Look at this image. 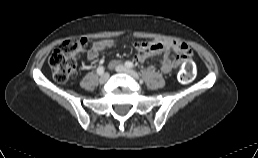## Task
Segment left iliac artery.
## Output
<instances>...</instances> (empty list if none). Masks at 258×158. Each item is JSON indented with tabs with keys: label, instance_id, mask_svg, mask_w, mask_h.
I'll list each match as a JSON object with an SVG mask.
<instances>
[{
	"label": "left iliac artery",
	"instance_id": "1",
	"mask_svg": "<svg viewBox=\"0 0 258 158\" xmlns=\"http://www.w3.org/2000/svg\"><path fill=\"white\" fill-rule=\"evenodd\" d=\"M125 66H126L127 68H133V67H134L133 63L130 62V61H126V62H125Z\"/></svg>",
	"mask_w": 258,
	"mask_h": 158
}]
</instances>
